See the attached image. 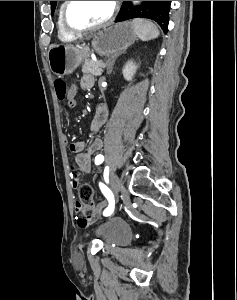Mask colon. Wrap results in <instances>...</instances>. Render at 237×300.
I'll return each instance as SVG.
<instances>
[{
    "label": "colon",
    "instance_id": "5ec220e1",
    "mask_svg": "<svg viewBox=\"0 0 237 300\" xmlns=\"http://www.w3.org/2000/svg\"><path fill=\"white\" fill-rule=\"evenodd\" d=\"M55 92L57 98L60 100H66L70 107H75L77 105L76 96L72 97L69 95V89L67 84L62 79H56L54 82ZM78 186V196L80 200L81 210L85 217L92 218L96 215L97 211L94 207V189L88 183H83Z\"/></svg>",
    "mask_w": 237,
    "mask_h": 300
}]
</instances>
